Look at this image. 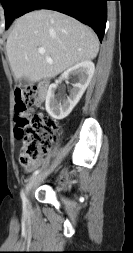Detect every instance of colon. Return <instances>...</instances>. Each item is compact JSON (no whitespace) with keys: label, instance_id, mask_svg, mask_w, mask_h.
Wrapping results in <instances>:
<instances>
[{"label":"colon","instance_id":"obj_1","mask_svg":"<svg viewBox=\"0 0 133 253\" xmlns=\"http://www.w3.org/2000/svg\"><path fill=\"white\" fill-rule=\"evenodd\" d=\"M15 128L16 138L22 140L19 160L23 167L35 164L49 149L56 123L47 115L33 113L40 104L36 87L25 86L16 90Z\"/></svg>","mask_w":133,"mask_h":253}]
</instances>
